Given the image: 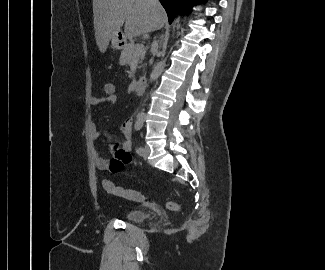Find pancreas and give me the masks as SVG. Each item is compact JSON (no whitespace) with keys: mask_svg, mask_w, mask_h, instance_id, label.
Returning a JSON list of instances; mask_svg holds the SVG:
<instances>
[{"mask_svg":"<svg viewBox=\"0 0 325 270\" xmlns=\"http://www.w3.org/2000/svg\"><path fill=\"white\" fill-rule=\"evenodd\" d=\"M146 50H140L137 44L130 42L127 44L120 56L119 64L120 65H129L132 62H137L139 59H143L145 56Z\"/></svg>","mask_w":325,"mask_h":270,"instance_id":"cf45deb5","label":"pancreas"}]
</instances>
